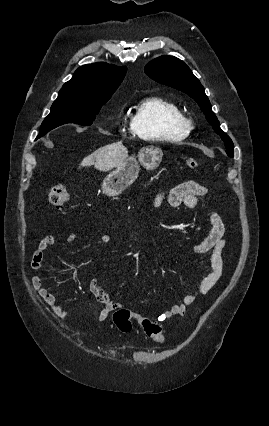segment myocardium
Instances as JSON below:
<instances>
[{"label":"myocardium","mask_w":269,"mask_h":426,"mask_svg":"<svg viewBox=\"0 0 269 426\" xmlns=\"http://www.w3.org/2000/svg\"><path fill=\"white\" fill-rule=\"evenodd\" d=\"M181 124L187 129L190 130L193 127V121L190 118L183 117L181 119Z\"/></svg>","instance_id":"1"}]
</instances>
